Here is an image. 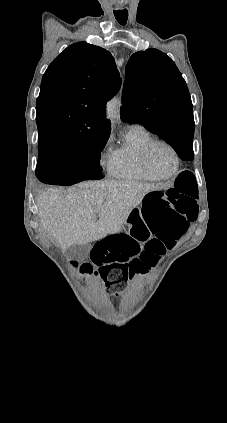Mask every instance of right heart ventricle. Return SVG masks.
I'll use <instances>...</instances> for the list:
<instances>
[{"label":"right heart ventricle","mask_w":227,"mask_h":423,"mask_svg":"<svg viewBox=\"0 0 227 423\" xmlns=\"http://www.w3.org/2000/svg\"><path fill=\"white\" fill-rule=\"evenodd\" d=\"M152 140L151 134L140 126L128 127L124 135V143L111 154L110 175L112 177L138 182H150L141 166L140 151Z\"/></svg>","instance_id":"e07e8e85"}]
</instances>
